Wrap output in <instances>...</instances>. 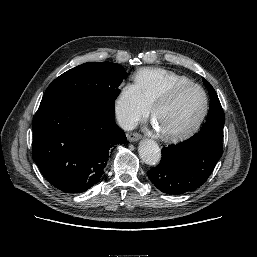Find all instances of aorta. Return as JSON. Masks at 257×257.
Here are the masks:
<instances>
[{
	"label": "aorta",
	"mask_w": 257,
	"mask_h": 257,
	"mask_svg": "<svg viewBox=\"0 0 257 257\" xmlns=\"http://www.w3.org/2000/svg\"><path fill=\"white\" fill-rule=\"evenodd\" d=\"M138 152L142 161L150 166L158 164L161 158V150L156 142L144 139L139 143Z\"/></svg>",
	"instance_id": "1"
}]
</instances>
